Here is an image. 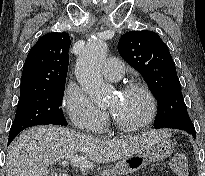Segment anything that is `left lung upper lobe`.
<instances>
[{
	"label": "left lung upper lobe",
	"instance_id": "obj_1",
	"mask_svg": "<svg viewBox=\"0 0 205 176\" xmlns=\"http://www.w3.org/2000/svg\"><path fill=\"white\" fill-rule=\"evenodd\" d=\"M120 55L147 82L158 100L155 128L190 119L175 64L167 45L153 31H131L119 40Z\"/></svg>",
	"mask_w": 205,
	"mask_h": 176
}]
</instances>
